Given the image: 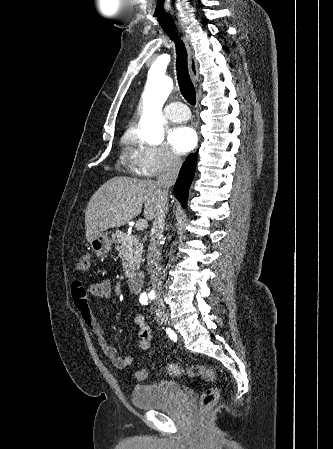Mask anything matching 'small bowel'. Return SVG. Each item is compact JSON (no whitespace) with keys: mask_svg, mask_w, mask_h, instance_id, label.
<instances>
[{"mask_svg":"<svg viewBox=\"0 0 333 449\" xmlns=\"http://www.w3.org/2000/svg\"><path fill=\"white\" fill-rule=\"evenodd\" d=\"M89 295L100 301L109 300L112 295L110 282L107 279H103L85 285L81 280H76L71 286V297L83 323L96 335L98 345L103 353L111 360L116 368L124 369L128 367L132 364L133 358L131 356H120L117 350L106 340L103 335V330L90 308ZM134 320L138 326L136 332L137 346L141 351H147L150 349L152 343L151 331L142 315L137 314Z\"/></svg>","mask_w":333,"mask_h":449,"instance_id":"small-bowel-1","label":"small bowel"}]
</instances>
